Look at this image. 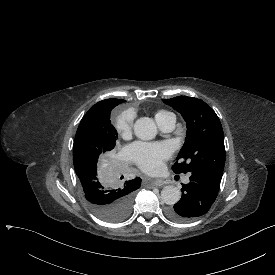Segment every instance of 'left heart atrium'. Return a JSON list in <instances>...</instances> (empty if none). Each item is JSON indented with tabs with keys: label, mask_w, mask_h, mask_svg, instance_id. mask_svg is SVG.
<instances>
[{
	"label": "left heart atrium",
	"mask_w": 275,
	"mask_h": 275,
	"mask_svg": "<svg viewBox=\"0 0 275 275\" xmlns=\"http://www.w3.org/2000/svg\"><path fill=\"white\" fill-rule=\"evenodd\" d=\"M127 157L146 172H155L164 159L170 156V148L166 143H135L126 149Z\"/></svg>",
	"instance_id": "1"
}]
</instances>
